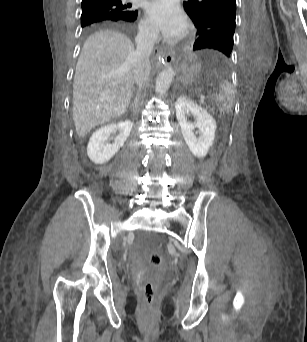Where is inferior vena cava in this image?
Wrapping results in <instances>:
<instances>
[{
    "label": "inferior vena cava",
    "instance_id": "inferior-vena-cava-1",
    "mask_svg": "<svg viewBox=\"0 0 307 342\" xmlns=\"http://www.w3.org/2000/svg\"><path fill=\"white\" fill-rule=\"evenodd\" d=\"M157 40V32L151 28H145L136 36L137 50L132 52L134 60L133 72L137 86H143L147 82L151 70L149 58Z\"/></svg>",
    "mask_w": 307,
    "mask_h": 342
}]
</instances>
